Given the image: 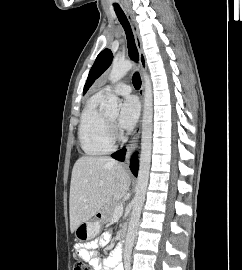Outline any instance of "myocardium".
Segmentation results:
<instances>
[{
  "mask_svg": "<svg viewBox=\"0 0 242 270\" xmlns=\"http://www.w3.org/2000/svg\"><path fill=\"white\" fill-rule=\"evenodd\" d=\"M107 123H108L109 130H110L111 140L113 141L114 121H112L111 119L107 118Z\"/></svg>",
  "mask_w": 242,
  "mask_h": 270,
  "instance_id": "obj_1",
  "label": "myocardium"
}]
</instances>
